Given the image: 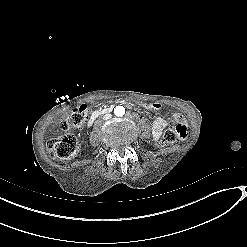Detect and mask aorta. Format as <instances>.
Listing matches in <instances>:
<instances>
[{
    "label": "aorta",
    "instance_id": "obj_1",
    "mask_svg": "<svg viewBox=\"0 0 247 247\" xmlns=\"http://www.w3.org/2000/svg\"><path fill=\"white\" fill-rule=\"evenodd\" d=\"M114 114L121 117L125 114V108L123 106H116L114 109Z\"/></svg>",
    "mask_w": 247,
    "mask_h": 247
}]
</instances>
